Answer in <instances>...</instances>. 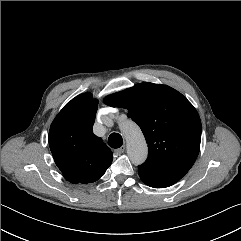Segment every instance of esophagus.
<instances>
[{
	"mask_svg": "<svg viewBox=\"0 0 241 241\" xmlns=\"http://www.w3.org/2000/svg\"><path fill=\"white\" fill-rule=\"evenodd\" d=\"M124 151H125V145H123L122 147L114 150V153L117 154V155H120V154H122Z\"/></svg>",
	"mask_w": 241,
	"mask_h": 241,
	"instance_id": "1",
	"label": "esophagus"
}]
</instances>
